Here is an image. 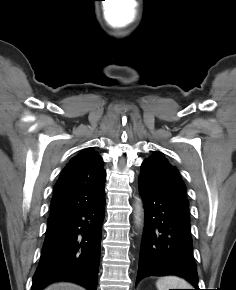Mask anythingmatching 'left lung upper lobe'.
I'll list each match as a JSON object with an SVG mask.
<instances>
[{"instance_id": "obj_1", "label": "left lung upper lobe", "mask_w": 236, "mask_h": 290, "mask_svg": "<svg viewBox=\"0 0 236 290\" xmlns=\"http://www.w3.org/2000/svg\"><path fill=\"white\" fill-rule=\"evenodd\" d=\"M139 178L175 190L187 199L184 182L161 152L156 151L144 160Z\"/></svg>"}]
</instances>
